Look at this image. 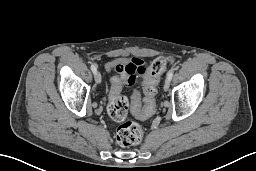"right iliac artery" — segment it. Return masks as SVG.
<instances>
[{
  "mask_svg": "<svg viewBox=\"0 0 256 171\" xmlns=\"http://www.w3.org/2000/svg\"><path fill=\"white\" fill-rule=\"evenodd\" d=\"M91 70H92V72H93L94 74L96 73L97 68H96V66H95L94 64L91 65Z\"/></svg>",
  "mask_w": 256,
  "mask_h": 171,
  "instance_id": "82829eb1",
  "label": "right iliac artery"
}]
</instances>
